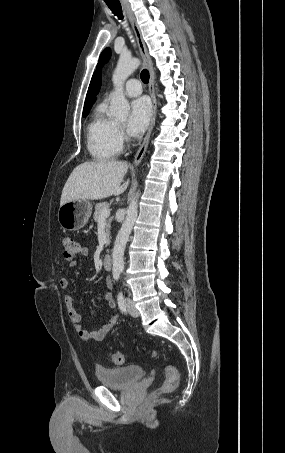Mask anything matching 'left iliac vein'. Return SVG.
<instances>
[{
    "instance_id": "obj_1",
    "label": "left iliac vein",
    "mask_w": 285,
    "mask_h": 453,
    "mask_svg": "<svg viewBox=\"0 0 285 453\" xmlns=\"http://www.w3.org/2000/svg\"><path fill=\"white\" fill-rule=\"evenodd\" d=\"M124 303H125V307H126L128 313L131 316H133V317H138L139 316V311L135 307L134 302L129 297L125 298Z\"/></svg>"
}]
</instances>
